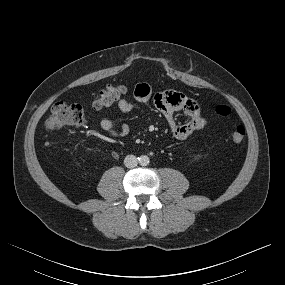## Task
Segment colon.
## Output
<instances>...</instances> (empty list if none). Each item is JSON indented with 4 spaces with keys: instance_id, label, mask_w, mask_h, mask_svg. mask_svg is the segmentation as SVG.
I'll return each mask as SVG.
<instances>
[{
    "instance_id": "colon-1",
    "label": "colon",
    "mask_w": 285,
    "mask_h": 285,
    "mask_svg": "<svg viewBox=\"0 0 285 285\" xmlns=\"http://www.w3.org/2000/svg\"><path fill=\"white\" fill-rule=\"evenodd\" d=\"M126 87L124 85H109L103 89L93 101L95 109L107 108L125 94ZM215 112L220 117H228L231 110L227 106H217ZM83 110L78 104L68 102H58L51 108L49 115L44 121V126L49 131H57L69 125H78L83 121ZM245 128L243 125L237 124L229 132V139L234 144H240L245 138Z\"/></svg>"
}]
</instances>
